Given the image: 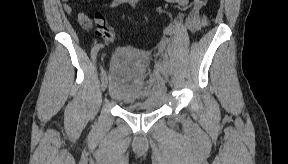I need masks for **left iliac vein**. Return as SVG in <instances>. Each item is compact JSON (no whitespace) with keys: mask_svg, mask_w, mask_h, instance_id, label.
Here are the masks:
<instances>
[{"mask_svg":"<svg viewBox=\"0 0 288 164\" xmlns=\"http://www.w3.org/2000/svg\"><path fill=\"white\" fill-rule=\"evenodd\" d=\"M163 72H164V75H165V76H167V75H168V71H167V69H166V68H164V71H163Z\"/></svg>","mask_w":288,"mask_h":164,"instance_id":"left-iliac-vein-1","label":"left iliac vein"}]
</instances>
